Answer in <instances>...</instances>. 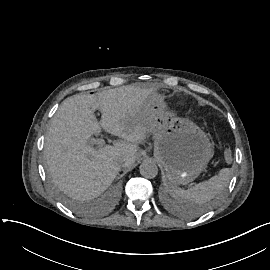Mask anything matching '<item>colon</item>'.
Returning a JSON list of instances; mask_svg holds the SVG:
<instances>
[{
	"mask_svg": "<svg viewBox=\"0 0 270 270\" xmlns=\"http://www.w3.org/2000/svg\"><path fill=\"white\" fill-rule=\"evenodd\" d=\"M225 150L221 153V158L225 162H231L235 158V153L231 150V146L229 143H224Z\"/></svg>",
	"mask_w": 270,
	"mask_h": 270,
	"instance_id": "colon-1",
	"label": "colon"
}]
</instances>
